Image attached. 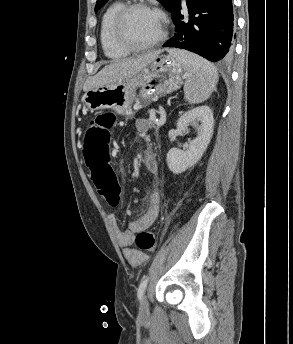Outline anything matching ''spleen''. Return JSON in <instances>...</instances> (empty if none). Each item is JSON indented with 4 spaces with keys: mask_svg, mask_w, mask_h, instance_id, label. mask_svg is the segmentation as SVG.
Wrapping results in <instances>:
<instances>
[{
    "mask_svg": "<svg viewBox=\"0 0 293 344\" xmlns=\"http://www.w3.org/2000/svg\"><path fill=\"white\" fill-rule=\"evenodd\" d=\"M170 53L189 73L184 84L187 101L191 104H198L207 100L218 82V73L215 67L206 59L187 51L172 49Z\"/></svg>",
    "mask_w": 293,
    "mask_h": 344,
    "instance_id": "spleen-1",
    "label": "spleen"
}]
</instances>
